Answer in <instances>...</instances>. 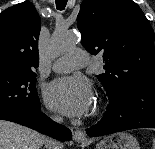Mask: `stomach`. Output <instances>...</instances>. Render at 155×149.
I'll list each match as a JSON object with an SVG mask.
<instances>
[{"instance_id": "obj_1", "label": "stomach", "mask_w": 155, "mask_h": 149, "mask_svg": "<svg viewBox=\"0 0 155 149\" xmlns=\"http://www.w3.org/2000/svg\"><path fill=\"white\" fill-rule=\"evenodd\" d=\"M96 149H140L135 137L127 132L106 136L96 144Z\"/></svg>"}]
</instances>
